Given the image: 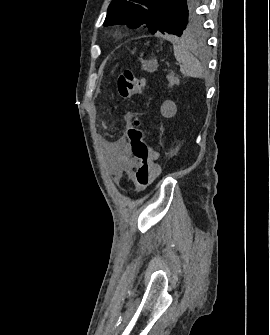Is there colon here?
Segmentation results:
<instances>
[{"label":"colon","instance_id":"colon-1","mask_svg":"<svg viewBox=\"0 0 270 335\" xmlns=\"http://www.w3.org/2000/svg\"><path fill=\"white\" fill-rule=\"evenodd\" d=\"M145 88V80L137 76L133 70L125 69L118 77V91L122 98L134 97ZM140 120L134 119L132 126L127 130L132 156L137 161L133 171L132 181L138 189L147 188L158 173V167L152 160V154L143 141V132L140 130Z\"/></svg>","mask_w":270,"mask_h":335}]
</instances>
